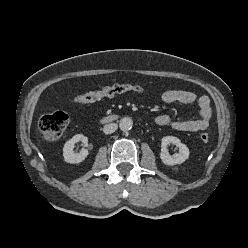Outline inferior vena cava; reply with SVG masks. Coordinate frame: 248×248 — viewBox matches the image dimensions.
I'll return each mask as SVG.
<instances>
[{"label":"inferior vena cava","instance_id":"1","mask_svg":"<svg viewBox=\"0 0 248 248\" xmlns=\"http://www.w3.org/2000/svg\"><path fill=\"white\" fill-rule=\"evenodd\" d=\"M117 128H118V125L116 123H109L104 126L103 132L105 134H112L113 132L117 130Z\"/></svg>","mask_w":248,"mask_h":248}]
</instances>
